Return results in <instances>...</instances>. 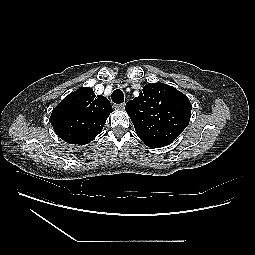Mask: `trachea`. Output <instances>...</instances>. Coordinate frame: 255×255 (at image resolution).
<instances>
[{
    "mask_svg": "<svg viewBox=\"0 0 255 255\" xmlns=\"http://www.w3.org/2000/svg\"><path fill=\"white\" fill-rule=\"evenodd\" d=\"M112 101L116 104L124 102V94L120 89H116L112 93Z\"/></svg>",
    "mask_w": 255,
    "mask_h": 255,
    "instance_id": "1",
    "label": "trachea"
}]
</instances>
